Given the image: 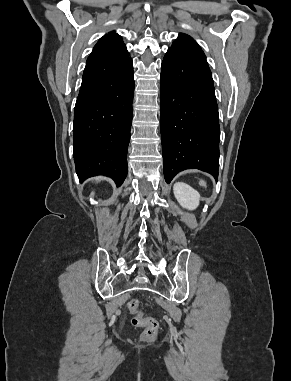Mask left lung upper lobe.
I'll return each instance as SVG.
<instances>
[{
  "instance_id": "1",
  "label": "left lung upper lobe",
  "mask_w": 291,
  "mask_h": 381,
  "mask_svg": "<svg viewBox=\"0 0 291 381\" xmlns=\"http://www.w3.org/2000/svg\"><path fill=\"white\" fill-rule=\"evenodd\" d=\"M170 49L176 50L195 63L209 68L204 52L187 34L180 33Z\"/></svg>"
}]
</instances>
